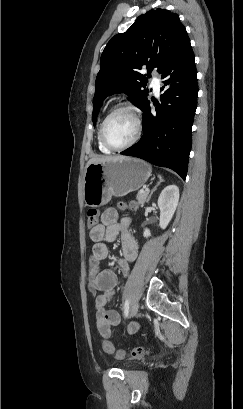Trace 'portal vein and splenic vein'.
Wrapping results in <instances>:
<instances>
[{
  "mask_svg": "<svg viewBox=\"0 0 243 409\" xmlns=\"http://www.w3.org/2000/svg\"><path fill=\"white\" fill-rule=\"evenodd\" d=\"M145 191H146V192H149V189H148V188H146V189H145Z\"/></svg>",
  "mask_w": 243,
  "mask_h": 409,
  "instance_id": "obj_1",
  "label": "portal vein and splenic vein"
}]
</instances>
